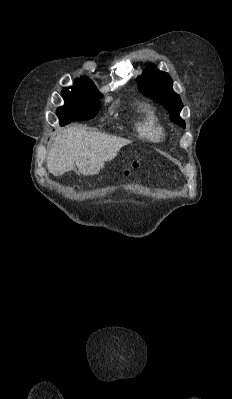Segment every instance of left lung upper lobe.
I'll use <instances>...</instances> for the list:
<instances>
[{
  "instance_id": "left-lung-upper-lobe-1",
  "label": "left lung upper lobe",
  "mask_w": 232,
  "mask_h": 399,
  "mask_svg": "<svg viewBox=\"0 0 232 399\" xmlns=\"http://www.w3.org/2000/svg\"><path fill=\"white\" fill-rule=\"evenodd\" d=\"M137 81L139 89L145 96L163 105L170 113L171 120L185 128V122L179 116L183 104L180 96L173 91V82L168 73L149 66Z\"/></svg>"
}]
</instances>
